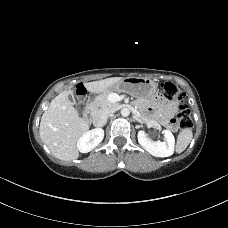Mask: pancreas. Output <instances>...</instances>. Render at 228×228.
<instances>
[{
    "label": "pancreas",
    "mask_w": 228,
    "mask_h": 228,
    "mask_svg": "<svg viewBox=\"0 0 228 228\" xmlns=\"http://www.w3.org/2000/svg\"><path fill=\"white\" fill-rule=\"evenodd\" d=\"M112 94L114 93L104 94L94 101V107L98 112H111L119 107L118 103L110 101Z\"/></svg>",
    "instance_id": "cf45deb5"
}]
</instances>
